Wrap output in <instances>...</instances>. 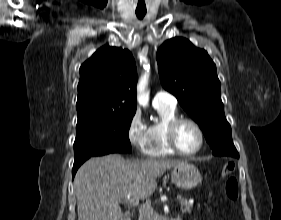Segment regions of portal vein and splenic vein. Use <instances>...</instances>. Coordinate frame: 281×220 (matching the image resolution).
Wrapping results in <instances>:
<instances>
[{"instance_id": "portal-vein-and-splenic-vein-1", "label": "portal vein and splenic vein", "mask_w": 281, "mask_h": 220, "mask_svg": "<svg viewBox=\"0 0 281 220\" xmlns=\"http://www.w3.org/2000/svg\"><path fill=\"white\" fill-rule=\"evenodd\" d=\"M125 199H126L127 201H130L131 205H133V206H136V205L139 204V201H138V200H131V196H130V195L126 196ZM177 199H178V200H181V196L178 195V196H177Z\"/></svg>"}]
</instances>
